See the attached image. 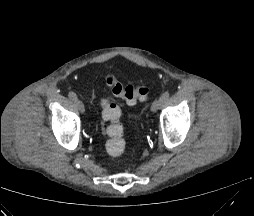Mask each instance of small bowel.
Segmentation results:
<instances>
[{
    "label": "small bowel",
    "instance_id": "small-bowel-1",
    "mask_svg": "<svg viewBox=\"0 0 254 216\" xmlns=\"http://www.w3.org/2000/svg\"><path fill=\"white\" fill-rule=\"evenodd\" d=\"M105 101H107V99H104ZM104 102H102V105H103Z\"/></svg>",
    "mask_w": 254,
    "mask_h": 216
}]
</instances>
